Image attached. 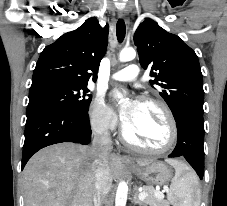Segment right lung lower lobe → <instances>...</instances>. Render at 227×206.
Here are the masks:
<instances>
[{"label": "right lung lower lobe", "mask_w": 227, "mask_h": 206, "mask_svg": "<svg viewBox=\"0 0 227 206\" xmlns=\"http://www.w3.org/2000/svg\"><path fill=\"white\" fill-rule=\"evenodd\" d=\"M91 136L87 111L35 110L27 114L21 169L33 154L46 146L61 142L88 144Z\"/></svg>", "instance_id": "obj_1"}]
</instances>
